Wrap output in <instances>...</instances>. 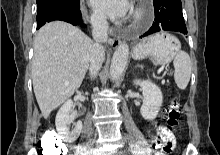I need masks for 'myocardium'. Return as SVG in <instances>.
Segmentation results:
<instances>
[{
	"label": "myocardium",
	"instance_id": "myocardium-1",
	"mask_svg": "<svg viewBox=\"0 0 220 155\" xmlns=\"http://www.w3.org/2000/svg\"><path fill=\"white\" fill-rule=\"evenodd\" d=\"M144 17H145V9L140 6L135 12L134 19L136 22H140L144 19Z\"/></svg>",
	"mask_w": 220,
	"mask_h": 155
}]
</instances>
